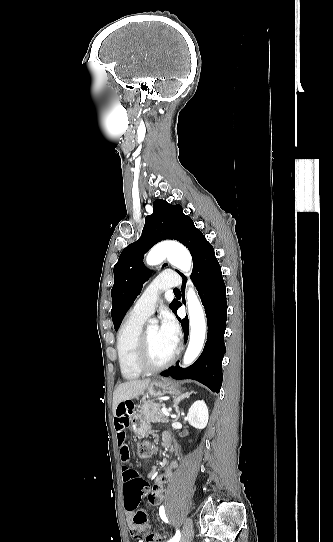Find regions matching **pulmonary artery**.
I'll return each mask as SVG.
<instances>
[{
  "mask_svg": "<svg viewBox=\"0 0 333 542\" xmlns=\"http://www.w3.org/2000/svg\"><path fill=\"white\" fill-rule=\"evenodd\" d=\"M180 276L174 273L172 267H167L163 274L156 279H151L145 286V293L141 294L130 309V315L138 318H147L155 310L162 291L177 289L181 287Z\"/></svg>",
  "mask_w": 333,
  "mask_h": 542,
  "instance_id": "e3ab8cb5",
  "label": "pulmonary artery"
}]
</instances>
